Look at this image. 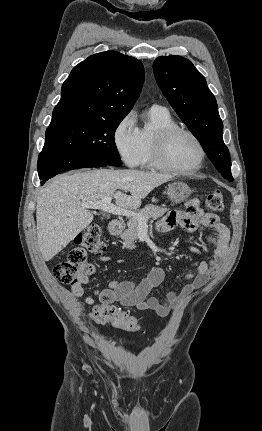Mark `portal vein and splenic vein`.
Here are the masks:
<instances>
[{
    "label": "portal vein and splenic vein",
    "instance_id": "1",
    "mask_svg": "<svg viewBox=\"0 0 262 431\" xmlns=\"http://www.w3.org/2000/svg\"><path fill=\"white\" fill-rule=\"evenodd\" d=\"M112 198L111 197H106L100 201H96V202H83L81 205L84 208L87 209H99L102 210L104 212L110 213V214H114V215H120V216H127V217H133L136 218L138 220V223L140 226L142 225H146V220L140 216L139 213H135L133 211L124 209V208H120L114 204L111 203Z\"/></svg>",
    "mask_w": 262,
    "mask_h": 431
}]
</instances>
